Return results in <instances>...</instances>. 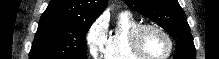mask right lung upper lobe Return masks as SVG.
<instances>
[{"mask_svg": "<svg viewBox=\"0 0 219 59\" xmlns=\"http://www.w3.org/2000/svg\"><path fill=\"white\" fill-rule=\"evenodd\" d=\"M108 0H50L41 18L95 21Z\"/></svg>", "mask_w": 219, "mask_h": 59, "instance_id": "cb5924a9", "label": "right lung upper lobe"}]
</instances>
